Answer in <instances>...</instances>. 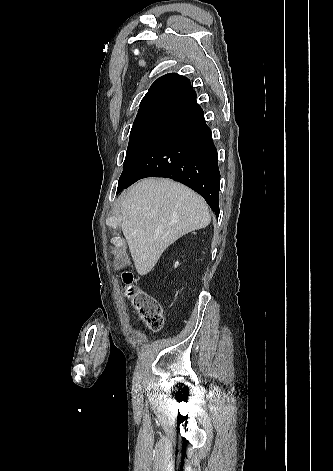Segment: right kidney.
<instances>
[{
	"mask_svg": "<svg viewBox=\"0 0 333 471\" xmlns=\"http://www.w3.org/2000/svg\"><path fill=\"white\" fill-rule=\"evenodd\" d=\"M177 266H178V262L175 263V267H177Z\"/></svg>",
	"mask_w": 333,
	"mask_h": 471,
	"instance_id": "1",
	"label": "right kidney"
}]
</instances>
